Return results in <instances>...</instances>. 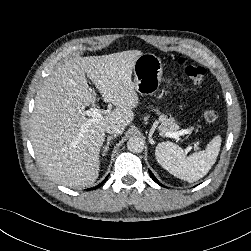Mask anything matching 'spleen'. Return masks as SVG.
Here are the masks:
<instances>
[{
	"label": "spleen",
	"instance_id": "1",
	"mask_svg": "<svg viewBox=\"0 0 251 251\" xmlns=\"http://www.w3.org/2000/svg\"><path fill=\"white\" fill-rule=\"evenodd\" d=\"M221 137L215 136L203 151L186 156L184 150L172 142L159 143L155 150L157 162L172 175L190 183L204 177L216 162Z\"/></svg>",
	"mask_w": 251,
	"mask_h": 251
}]
</instances>
